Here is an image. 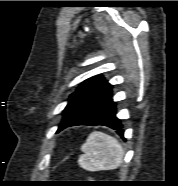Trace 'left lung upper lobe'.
<instances>
[{
    "label": "left lung upper lobe",
    "mask_w": 178,
    "mask_h": 186,
    "mask_svg": "<svg viewBox=\"0 0 178 186\" xmlns=\"http://www.w3.org/2000/svg\"><path fill=\"white\" fill-rule=\"evenodd\" d=\"M112 88L113 86L101 76L87 79L77 88L75 93L70 95L58 131L83 112L109 98L112 94Z\"/></svg>",
    "instance_id": "obj_1"
}]
</instances>
